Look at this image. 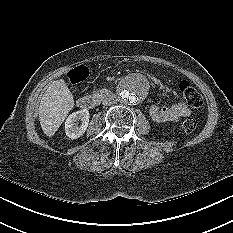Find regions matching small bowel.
<instances>
[{
    "instance_id": "obj_1",
    "label": "small bowel",
    "mask_w": 233,
    "mask_h": 233,
    "mask_svg": "<svg viewBox=\"0 0 233 233\" xmlns=\"http://www.w3.org/2000/svg\"><path fill=\"white\" fill-rule=\"evenodd\" d=\"M150 116L156 123L177 122L190 114L188 106L184 102H178L171 106L152 105Z\"/></svg>"
}]
</instances>
